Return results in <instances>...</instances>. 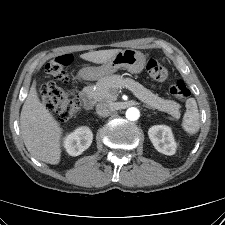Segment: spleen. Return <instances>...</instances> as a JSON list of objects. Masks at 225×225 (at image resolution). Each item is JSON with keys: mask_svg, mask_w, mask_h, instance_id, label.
<instances>
[{"mask_svg": "<svg viewBox=\"0 0 225 225\" xmlns=\"http://www.w3.org/2000/svg\"><path fill=\"white\" fill-rule=\"evenodd\" d=\"M186 112L182 120V128L188 134L193 135L199 131L200 128V115L197 107L196 100L189 98L186 101Z\"/></svg>", "mask_w": 225, "mask_h": 225, "instance_id": "spleen-1", "label": "spleen"}]
</instances>
